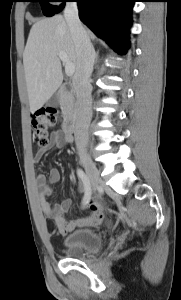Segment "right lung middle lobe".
Masks as SVG:
<instances>
[{"label": "right lung middle lobe", "instance_id": "obj_1", "mask_svg": "<svg viewBox=\"0 0 181 300\" xmlns=\"http://www.w3.org/2000/svg\"><path fill=\"white\" fill-rule=\"evenodd\" d=\"M31 1L39 2L41 4L42 11L45 16H53L55 13H58L65 6L64 3L61 4L59 7L52 6L49 4L51 0H31Z\"/></svg>", "mask_w": 181, "mask_h": 300}]
</instances>
